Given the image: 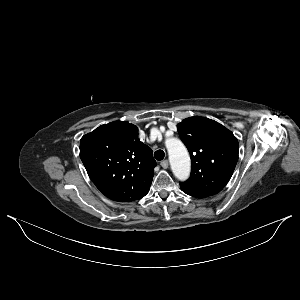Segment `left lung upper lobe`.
<instances>
[{"label": "left lung upper lobe", "instance_id": "5c2ea615", "mask_svg": "<svg viewBox=\"0 0 300 300\" xmlns=\"http://www.w3.org/2000/svg\"><path fill=\"white\" fill-rule=\"evenodd\" d=\"M177 129L192 161L190 178L180 183L181 189L199 198L217 194L235 169L237 138L223 125L204 117L186 118Z\"/></svg>", "mask_w": 300, "mask_h": 300}]
</instances>
